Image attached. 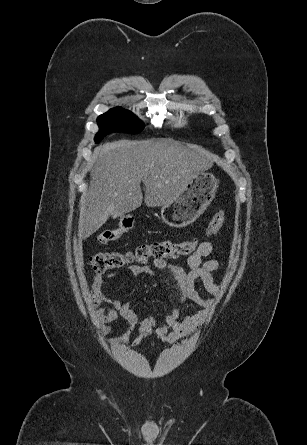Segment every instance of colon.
<instances>
[{
    "label": "colon",
    "instance_id": "obj_1",
    "mask_svg": "<svg viewBox=\"0 0 307 445\" xmlns=\"http://www.w3.org/2000/svg\"><path fill=\"white\" fill-rule=\"evenodd\" d=\"M225 212L219 211L213 215L207 223L204 237L208 238L216 234L224 225ZM134 227V218L130 215L124 216L117 227L103 229L98 234V241L101 244H109L119 239L124 232ZM197 242L195 240L173 241L162 240L153 243L138 245L135 249L120 252H98L89 259L92 269L100 274L108 270H118L126 266L145 264L151 259H174L181 256H189L196 251Z\"/></svg>",
    "mask_w": 307,
    "mask_h": 445
}]
</instances>
